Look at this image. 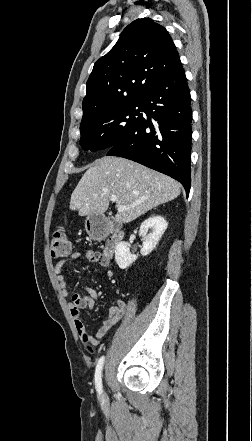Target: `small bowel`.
Instances as JSON below:
<instances>
[{"label":"small bowel","instance_id":"c3829d8e","mask_svg":"<svg viewBox=\"0 0 252 441\" xmlns=\"http://www.w3.org/2000/svg\"><path fill=\"white\" fill-rule=\"evenodd\" d=\"M85 259L90 263H98L103 267L109 265V259L102 255L99 252H96L91 249H84L82 253L80 252H72L66 258L61 259L55 266V274L57 282L62 290V295L64 297H68V291L66 287V282L64 277L62 276V269L68 263H73L79 259ZM81 289L84 290L87 294H82L80 292H74L71 295L70 302V313L74 319L75 327L82 336L83 333H87L86 328L80 319L81 312L83 310H92L96 305V301L98 299V292L87 286H81ZM126 305L124 301L118 299L116 301V305L109 309L107 317L102 322L101 327L97 331L94 336L89 335V342L92 344H97L103 337L107 334V332L124 316Z\"/></svg>","mask_w":252,"mask_h":441}]
</instances>
